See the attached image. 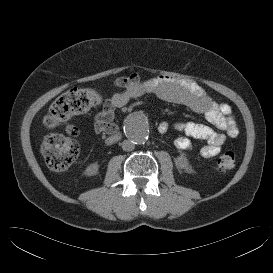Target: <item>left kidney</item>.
<instances>
[{
	"label": "left kidney",
	"instance_id": "obj_1",
	"mask_svg": "<svg viewBox=\"0 0 273 273\" xmlns=\"http://www.w3.org/2000/svg\"><path fill=\"white\" fill-rule=\"evenodd\" d=\"M175 164H176L177 168H179V169L189 170L191 168L187 157L184 155L178 156L175 159Z\"/></svg>",
	"mask_w": 273,
	"mask_h": 273
}]
</instances>
